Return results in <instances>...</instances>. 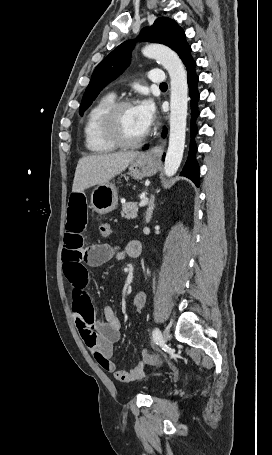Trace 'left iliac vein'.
I'll list each match as a JSON object with an SVG mask.
<instances>
[{
    "label": "left iliac vein",
    "mask_w": 272,
    "mask_h": 455,
    "mask_svg": "<svg viewBox=\"0 0 272 455\" xmlns=\"http://www.w3.org/2000/svg\"><path fill=\"white\" fill-rule=\"evenodd\" d=\"M170 339V330L168 327H165L162 333V341L166 344Z\"/></svg>",
    "instance_id": "4c4485c4"
}]
</instances>
